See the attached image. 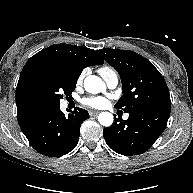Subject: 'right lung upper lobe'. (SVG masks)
I'll list each match as a JSON object with an SVG mask.
<instances>
[{
  "label": "right lung upper lobe",
  "mask_w": 193,
  "mask_h": 193,
  "mask_svg": "<svg viewBox=\"0 0 193 193\" xmlns=\"http://www.w3.org/2000/svg\"><path fill=\"white\" fill-rule=\"evenodd\" d=\"M104 60L95 50L69 44H54L33 55L23 67L16 87L17 119L22 126L46 109L30 103L23 94V87L28 75L44 66L58 67L77 74L88 66L101 65Z\"/></svg>",
  "instance_id": "obj_1"
}]
</instances>
